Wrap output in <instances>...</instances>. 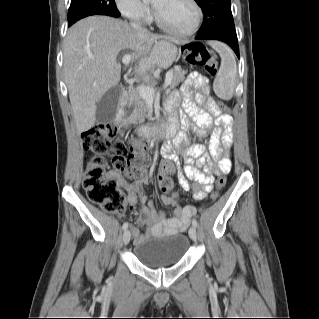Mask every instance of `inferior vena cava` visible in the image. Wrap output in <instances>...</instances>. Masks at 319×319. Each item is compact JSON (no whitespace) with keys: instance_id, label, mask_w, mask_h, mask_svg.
<instances>
[{"instance_id":"1","label":"inferior vena cava","mask_w":319,"mask_h":319,"mask_svg":"<svg viewBox=\"0 0 319 319\" xmlns=\"http://www.w3.org/2000/svg\"><path fill=\"white\" fill-rule=\"evenodd\" d=\"M131 26L136 30L146 31V29H144L138 22H131Z\"/></svg>"}]
</instances>
